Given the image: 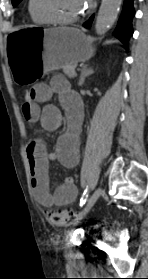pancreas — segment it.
Listing matches in <instances>:
<instances>
[{
  "label": "pancreas",
  "mask_w": 148,
  "mask_h": 279,
  "mask_svg": "<svg viewBox=\"0 0 148 279\" xmlns=\"http://www.w3.org/2000/svg\"><path fill=\"white\" fill-rule=\"evenodd\" d=\"M76 64H65L62 65L61 68L65 75L69 78H75L77 76L75 71Z\"/></svg>",
  "instance_id": "obj_1"
}]
</instances>
